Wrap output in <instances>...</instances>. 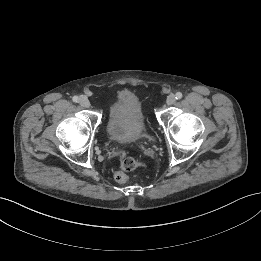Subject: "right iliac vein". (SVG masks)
Segmentation results:
<instances>
[{"label":"right iliac vein","mask_w":261,"mask_h":261,"mask_svg":"<svg viewBox=\"0 0 261 261\" xmlns=\"http://www.w3.org/2000/svg\"><path fill=\"white\" fill-rule=\"evenodd\" d=\"M80 105L82 107L88 108V107H90V102H89V100L86 97H82L80 99Z\"/></svg>","instance_id":"63e3f726"}]
</instances>
